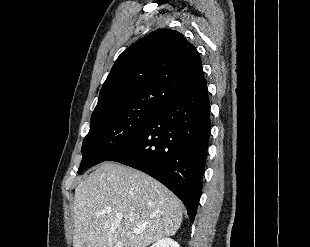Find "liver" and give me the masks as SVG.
I'll use <instances>...</instances> for the list:
<instances>
[{
    "label": "liver",
    "mask_w": 310,
    "mask_h": 247,
    "mask_svg": "<svg viewBox=\"0 0 310 247\" xmlns=\"http://www.w3.org/2000/svg\"><path fill=\"white\" fill-rule=\"evenodd\" d=\"M183 207L151 176L104 162L75 189L73 247H147L177 232Z\"/></svg>",
    "instance_id": "1"
}]
</instances>
